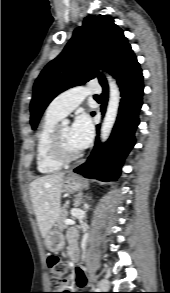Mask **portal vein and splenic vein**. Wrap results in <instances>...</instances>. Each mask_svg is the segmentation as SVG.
I'll use <instances>...</instances> for the list:
<instances>
[{"mask_svg":"<svg viewBox=\"0 0 170 293\" xmlns=\"http://www.w3.org/2000/svg\"><path fill=\"white\" fill-rule=\"evenodd\" d=\"M64 223H65L66 225H73V224H75V221L72 220V219H65V220H64Z\"/></svg>","mask_w":170,"mask_h":293,"instance_id":"18ae733b","label":"portal vein and splenic vein"}]
</instances>
